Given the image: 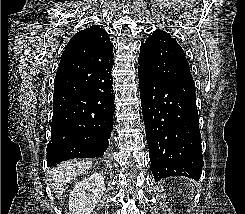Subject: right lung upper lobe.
I'll return each mask as SVG.
<instances>
[{
    "instance_id": "right-lung-upper-lobe-1",
    "label": "right lung upper lobe",
    "mask_w": 245,
    "mask_h": 214,
    "mask_svg": "<svg viewBox=\"0 0 245 214\" xmlns=\"http://www.w3.org/2000/svg\"><path fill=\"white\" fill-rule=\"evenodd\" d=\"M112 50L113 44L107 32L99 25L79 31L61 56L54 87L84 88L97 67L113 63Z\"/></svg>"
}]
</instances>
